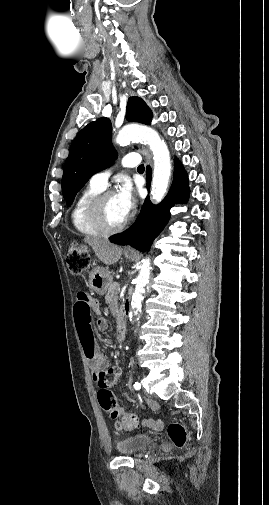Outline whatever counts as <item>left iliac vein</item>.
I'll return each instance as SVG.
<instances>
[{
    "label": "left iliac vein",
    "mask_w": 269,
    "mask_h": 505,
    "mask_svg": "<svg viewBox=\"0 0 269 505\" xmlns=\"http://www.w3.org/2000/svg\"><path fill=\"white\" fill-rule=\"evenodd\" d=\"M147 405L152 412H157L159 410V405L157 404V402L155 400L148 399Z\"/></svg>",
    "instance_id": "4c4485c4"
}]
</instances>
